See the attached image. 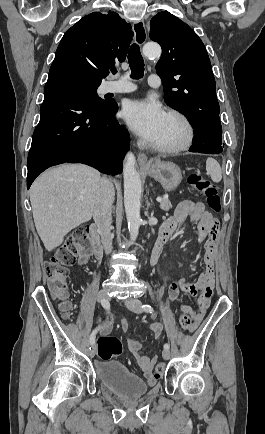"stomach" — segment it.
<instances>
[{
    "mask_svg": "<svg viewBox=\"0 0 265 434\" xmlns=\"http://www.w3.org/2000/svg\"><path fill=\"white\" fill-rule=\"evenodd\" d=\"M141 170L160 182L166 192L175 190L182 180L181 170L173 162H155L149 164V168H141Z\"/></svg>",
    "mask_w": 265,
    "mask_h": 434,
    "instance_id": "stomach-1",
    "label": "stomach"
}]
</instances>
